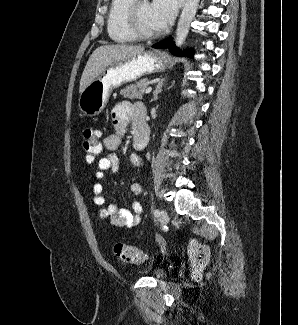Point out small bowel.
<instances>
[{
	"label": "small bowel",
	"mask_w": 298,
	"mask_h": 325,
	"mask_svg": "<svg viewBox=\"0 0 298 325\" xmlns=\"http://www.w3.org/2000/svg\"><path fill=\"white\" fill-rule=\"evenodd\" d=\"M135 106V105H134ZM134 106L127 101L120 102L112 110V121L114 132L106 136L103 140L105 154L98 160V169L95 174L97 182L93 185V202L100 207L99 217L106 219L109 224L115 228L131 229L135 227L139 221L143 211L142 204L139 201L132 203V209L120 208L116 204L105 206V198L102 194V185L99 183L106 171L116 173L119 168V160L117 149L126 133L129 122L132 120ZM130 164L135 168L143 166V160L137 153L129 156ZM142 187L139 183L131 186L133 194L137 195L141 192Z\"/></svg>",
	"instance_id": "c3829d8e"
}]
</instances>
